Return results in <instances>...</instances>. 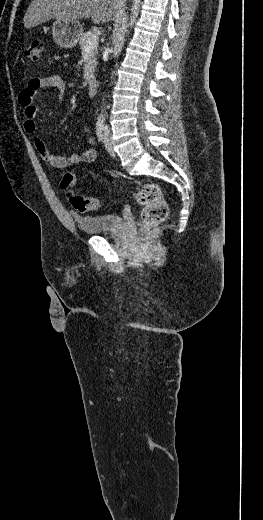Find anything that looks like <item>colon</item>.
<instances>
[{"instance_id": "1", "label": "colon", "mask_w": 263, "mask_h": 520, "mask_svg": "<svg viewBox=\"0 0 263 520\" xmlns=\"http://www.w3.org/2000/svg\"><path fill=\"white\" fill-rule=\"evenodd\" d=\"M42 52V42L32 40L25 48L24 54L31 61H38ZM61 188L68 192L69 201L74 209L81 213L99 209L103 201L97 198L83 196L74 191L76 176L66 172L60 182ZM137 202L142 205L141 223L149 227L164 221L168 216V205L163 198L160 187L155 183H144L135 192Z\"/></svg>"}]
</instances>
